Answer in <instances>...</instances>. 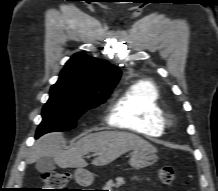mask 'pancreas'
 <instances>
[{
  "mask_svg": "<svg viewBox=\"0 0 218 191\" xmlns=\"http://www.w3.org/2000/svg\"><path fill=\"white\" fill-rule=\"evenodd\" d=\"M122 183H124V179L121 177L116 178V182L109 180L105 185V187H106L105 189L111 190L112 187H115V186L120 185Z\"/></svg>",
  "mask_w": 218,
  "mask_h": 191,
  "instance_id": "pancreas-1",
  "label": "pancreas"
}]
</instances>
